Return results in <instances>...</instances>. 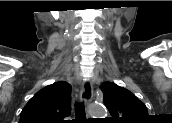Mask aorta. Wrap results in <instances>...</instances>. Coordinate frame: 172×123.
<instances>
[{
	"label": "aorta",
	"instance_id": "aorta-1",
	"mask_svg": "<svg viewBox=\"0 0 172 123\" xmlns=\"http://www.w3.org/2000/svg\"><path fill=\"white\" fill-rule=\"evenodd\" d=\"M88 113L93 118H103L106 114V109L99 104H92L89 109Z\"/></svg>",
	"mask_w": 172,
	"mask_h": 123
}]
</instances>
